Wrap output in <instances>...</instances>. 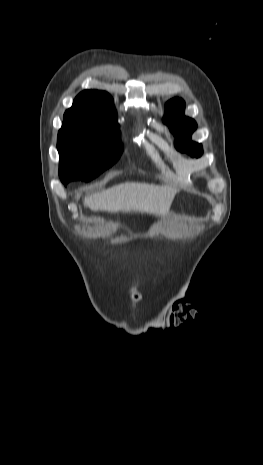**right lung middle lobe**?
<instances>
[{
  "label": "right lung middle lobe",
  "instance_id": "right-lung-middle-lobe-1",
  "mask_svg": "<svg viewBox=\"0 0 263 465\" xmlns=\"http://www.w3.org/2000/svg\"><path fill=\"white\" fill-rule=\"evenodd\" d=\"M62 182L89 181L110 167L122 153L117 123L64 116L58 133Z\"/></svg>",
  "mask_w": 263,
  "mask_h": 465
}]
</instances>
